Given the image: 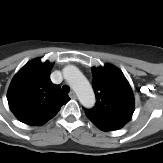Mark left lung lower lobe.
<instances>
[{
  "label": "left lung lower lobe",
  "mask_w": 163,
  "mask_h": 163,
  "mask_svg": "<svg viewBox=\"0 0 163 163\" xmlns=\"http://www.w3.org/2000/svg\"><path fill=\"white\" fill-rule=\"evenodd\" d=\"M92 123L102 131L118 130L124 126L119 124H107V123H99V122H92Z\"/></svg>",
  "instance_id": "0a47b994"
}]
</instances>
